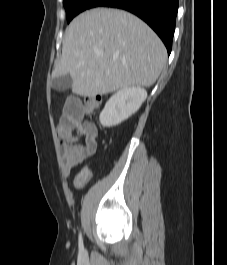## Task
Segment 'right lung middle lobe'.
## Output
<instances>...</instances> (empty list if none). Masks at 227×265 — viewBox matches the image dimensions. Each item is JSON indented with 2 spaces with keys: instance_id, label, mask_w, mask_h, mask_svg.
<instances>
[{
  "instance_id": "1",
  "label": "right lung middle lobe",
  "mask_w": 227,
  "mask_h": 265,
  "mask_svg": "<svg viewBox=\"0 0 227 265\" xmlns=\"http://www.w3.org/2000/svg\"><path fill=\"white\" fill-rule=\"evenodd\" d=\"M94 0H63L69 23L80 12L88 9Z\"/></svg>"
}]
</instances>
